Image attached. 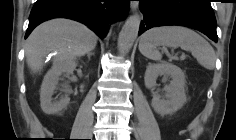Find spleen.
<instances>
[{"label": "spleen", "instance_id": "obj_1", "mask_svg": "<svg viewBox=\"0 0 236 140\" xmlns=\"http://www.w3.org/2000/svg\"><path fill=\"white\" fill-rule=\"evenodd\" d=\"M158 45L172 48L180 47L190 51L204 68L215 67V51L212 46L195 31L181 26H163L148 30L139 43L140 52L147 58L160 61L162 54L156 49Z\"/></svg>", "mask_w": 236, "mask_h": 140}]
</instances>
